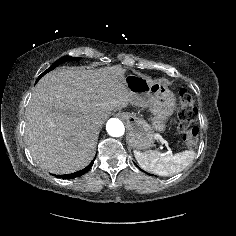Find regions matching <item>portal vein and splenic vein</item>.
Segmentation results:
<instances>
[{
    "mask_svg": "<svg viewBox=\"0 0 236 236\" xmlns=\"http://www.w3.org/2000/svg\"><path fill=\"white\" fill-rule=\"evenodd\" d=\"M158 139H159L163 144L167 145L166 140H164L161 136H158ZM169 152H171V151H169Z\"/></svg>",
    "mask_w": 236,
    "mask_h": 236,
    "instance_id": "obj_1",
    "label": "portal vein and splenic vein"
}]
</instances>
